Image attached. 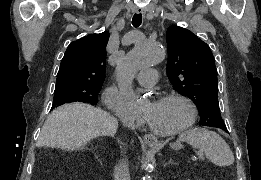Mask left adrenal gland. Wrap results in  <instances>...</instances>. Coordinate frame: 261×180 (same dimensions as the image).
<instances>
[{"mask_svg": "<svg viewBox=\"0 0 261 180\" xmlns=\"http://www.w3.org/2000/svg\"><path fill=\"white\" fill-rule=\"evenodd\" d=\"M168 164H174L172 158H170V160H168L167 164H165V166H168Z\"/></svg>", "mask_w": 261, "mask_h": 180, "instance_id": "1", "label": "left adrenal gland"}]
</instances>
